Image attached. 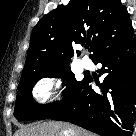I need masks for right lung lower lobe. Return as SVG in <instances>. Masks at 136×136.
Instances as JSON below:
<instances>
[{"mask_svg":"<svg viewBox=\"0 0 136 136\" xmlns=\"http://www.w3.org/2000/svg\"><path fill=\"white\" fill-rule=\"evenodd\" d=\"M101 63L100 93L86 76L67 103L49 118L67 121L101 136H132L136 119V36L107 47L93 59Z\"/></svg>","mask_w":136,"mask_h":136,"instance_id":"1","label":"right lung lower lobe"}]
</instances>
